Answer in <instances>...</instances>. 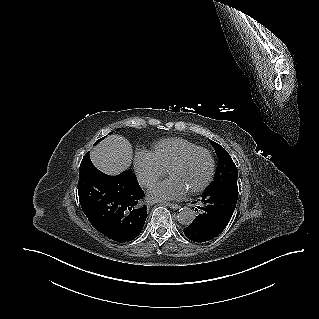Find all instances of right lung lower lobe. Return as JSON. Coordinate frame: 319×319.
<instances>
[{
  "label": "right lung lower lobe",
  "instance_id": "right-lung-lower-lobe-1",
  "mask_svg": "<svg viewBox=\"0 0 319 319\" xmlns=\"http://www.w3.org/2000/svg\"><path fill=\"white\" fill-rule=\"evenodd\" d=\"M78 192L89 222L106 237L126 242L142 231L147 206L142 204L144 192L132 171L106 175L92 164L88 152L80 165Z\"/></svg>",
  "mask_w": 319,
  "mask_h": 319
}]
</instances>
